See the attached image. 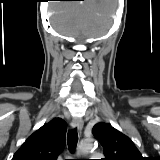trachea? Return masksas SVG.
<instances>
[{
  "label": "trachea",
  "instance_id": "trachea-1",
  "mask_svg": "<svg viewBox=\"0 0 160 160\" xmlns=\"http://www.w3.org/2000/svg\"><path fill=\"white\" fill-rule=\"evenodd\" d=\"M77 142H78V134H77V129L75 128L68 132V138H67L68 148L71 153L75 151Z\"/></svg>",
  "mask_w": 160,
  "mask_h": 160
}]
</instances>
